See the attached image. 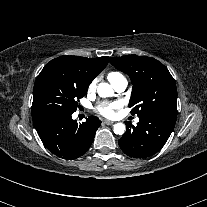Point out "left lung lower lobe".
<instances>
[{"label":"left lung lower lobe","mask_w":207,"mask_h":207,"mask_svg":"<svg viewBox=\"0 0 207 207\" xmlns=\"http://www.w3.org/2000/svg\"><path fill=\"white\" fill-rule=\"evenodd\" d=\"M169 114H149L139 117L136 127L127 123L125 134L118 141L122 151L134 158H146L157 153L167 142L176 122Z\"/></svg>","instance_id":"obj_1"}]
</instances>
